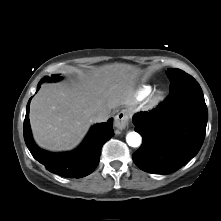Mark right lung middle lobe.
Masks as SVG:
<instances>
[{
	"mask_svg": "<svg viewBox=\"0 0 221 221\" xmlns=\"http://www.w3.org/2000/svg\"><path fill=\"white\" fill-rule=\"evenodd\" d=\"M62 77L58 76V75H53L52 77H44L42 79L43 82L48 81V82H52V81H57L60 80Z\"/></svg>",
	"mask_w": 221,
	"mask_h": 221,
	"instance_id": "dd1d6c3e",
	"label": "right lung middle lobe"
}]
</instances>
